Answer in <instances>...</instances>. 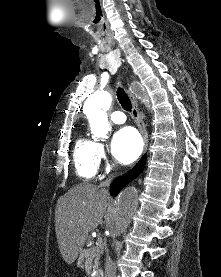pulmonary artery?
Instances as JSON below:
<instances>
[{
  "instance_id": "e3ab8cb5",
  "label": "pulmonary artery",
  "mask_w": 221,
  "mask_h": 277,
  "mask_svg": "<svg viewBox=\"0 0 221 277\" xmlns=\"http://www.w3.org/2000/svg\"><path fill=\"white\" fill-rule=\"evenodd\" d=\"M111 120L116 124H122L126 121V116L122 111H114L111 114Z\"/></svg>"
}]
</instances>
